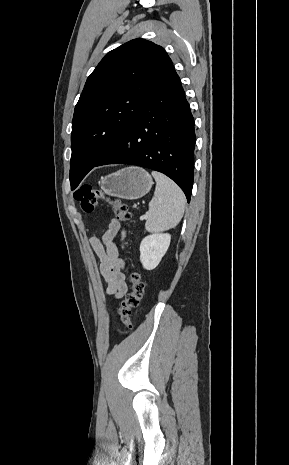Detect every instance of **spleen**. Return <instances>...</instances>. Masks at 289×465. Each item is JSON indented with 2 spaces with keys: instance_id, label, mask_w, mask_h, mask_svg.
I'll return each mask as SVG.
<instances>
[{
  "instance_id": "3e777b00",
  "label": "spleen",
  "mask_w": 289,
  "mask_h": 465,
  "mask_svg": "<svg viewBox=\"0 0 289 465\" xmlns=\"http://www.w3.org/2000/svg\"><path fill=\"white\" fill-rule=\"evenodd\" d=\"M156 181L154 197L149 203L145 228L148 232H162L174 228L185 210V195L166 175L152 172Z\"/></svg>"
}]
</instances>
